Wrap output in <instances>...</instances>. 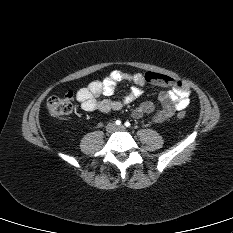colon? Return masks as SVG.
Here are the masks:
<instances>
[{
  "label": "colon",
  "mask_w": 233,
  "mask_h": 233,
  "mask_svg": "<svg viewBox=\"0 0 233 233\" xmlns=\"http://www.w3.org/2000/svg\"><path fill=\"white\" fill-rule=\"evenodd\" d=\"M73 93L68 92L63 97H51L47 100L46 107L51 116L55 118H61L69 114L73 109ZM177 116L184 118L186 116L185 111H179Z\"/></svg>",
  "instance_id": "obj_1"
}]
</instances>
